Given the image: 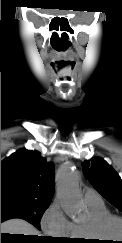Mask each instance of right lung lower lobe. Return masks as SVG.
Returning a JSON list of instances; mask_svg holds the SVG:
<instances>
[{"label": "right lung lower lobe", "instance_id": "1", "mask_svg": "<svg viewBox=\"0 0 122 243\" xmlns=\"http://www.w3.org/2000/svg\"><path fill=\"white\" fill-rule=\"evenodd\" d=\"M11 218H22V217H15V216H9V215H1V222L5 221L7 219H11ZM23 219H25V218H23ZM41 242L42 243H53V240L52 239H49V238H43V239H41Z\"/></svg>", "mask_w": 122, "mask_h": 243}]
</instances>
